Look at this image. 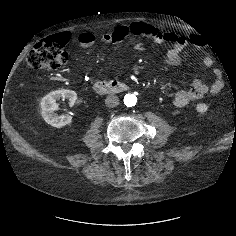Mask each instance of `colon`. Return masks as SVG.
I'll list each match as a JSON object with an SVG mask.
<instances>
[{"instance_id":"5ec220e1","label":"colon","mask_w":236,"mask_h":236,"mask_svg":"<svg viewBox=\"0 0 236 236\" xmlns=\"http://www.w3.org/2000/svg\"><path fill=\"white\" fill-rule=\"evenodd\" d=\"M65 42L53 36L38 43L27 55L26 63L33 70H55L67 62Z\"/></svg>"}]
</instances>
